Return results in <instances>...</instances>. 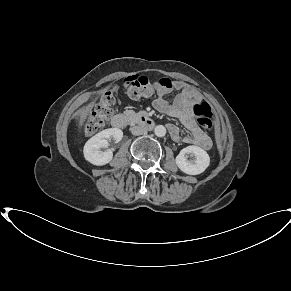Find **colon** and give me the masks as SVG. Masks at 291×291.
I'll list each match as a JSON object with an SVG mask.
<instances>
[{"label": "colon", "mask_w": 291, "mask_h": 291, "mask_svg": "<svg viewBox=\"0 0 291 291\" xmlns=\"http://www.w3.org/2000/svg\"><path fill=\"white\" fill-rule=\"evenodd\" d=\"M124 85L130 98L139 99L151 96L159 89L169 86V83L163 79L155 80L145 75H136L125 79ZM114 103L113 90L103 89L97 102L90 104L80 116L79 125L82 132L86 135H92L103 129L113 115ZM192 113L201 126L207 129L213 127L214 114L207 102H195L192 105Z\"/></svg>", "instance_id": "obj_1"}]
</instances>
